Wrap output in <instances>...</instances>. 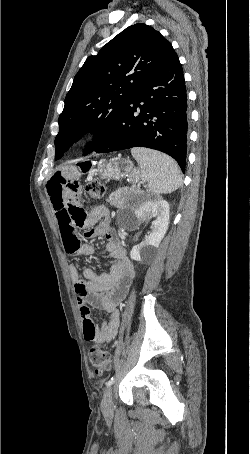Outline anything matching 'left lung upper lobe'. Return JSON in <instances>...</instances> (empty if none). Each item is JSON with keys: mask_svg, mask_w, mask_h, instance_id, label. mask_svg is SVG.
<instances>
[{"mask_svg": "<svg viewBox=\"0 0 250 454\" xmlns=\"http://www.w3.org/2000/svg\"><path fill=\"white\" fill-rule=\"evenodd\" d=\"M174 49L160 32L138 23L127 27L90 56L74 77L60 114L56 159L87 132L92 152L117 124L140 86L169 59Z\"/></svg>", "mask_w": 250, "mask_h": 454, "instance_id": "obj_1", "label": "left lung upper lobe"}]
</instances>
